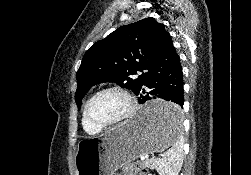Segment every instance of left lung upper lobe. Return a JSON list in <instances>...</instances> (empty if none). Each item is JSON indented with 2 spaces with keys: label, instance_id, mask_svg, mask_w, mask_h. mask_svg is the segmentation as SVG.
Listing matches in <instances>:
<instances>
[{
  "label": "left lung upper lobe",
  "instance_id": "1",
  "mask_svg": "<svg viewBox=\"0 0 251 175\" xmlns=\"http://www.w3.org/2000/svg\"><path fill=\"white\" fill-rule=\"evenodd\" d=\"M169 37L165 25L149 17L122 26L94 43L77 71L78 109L87 91L101 82H115L135 93L146 74L137 73L150 68Z\"/></svg>",
  "mask_w": 251,
  "mask_h": 175
}]
</instances>
